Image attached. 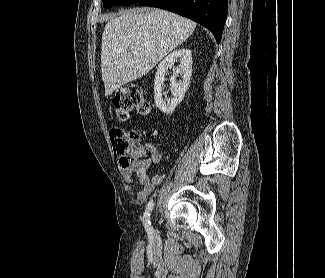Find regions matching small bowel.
I'll use <instances>...</instances> for the list:
<instances>
[{
    "label": "small bowel",
    "instance_id": "1",
    "mask_svg": "<svg viewBox=\"0 0 325 278\" xmlns=\"http://www.w3.org/2000/svg\"><path fill=\"white\" fill-rule=\"evenodd\" d=\"M149 150L150 153L148 158L137 160L135 165L131 168L122 167L120 169L121 175L126 181L133 182L137 180L140 184L141 189L138 193V199L140 201L146 200L154 187L162 181L161 175L150 173V165L168 159V154L162 150L153 146H149Z\"/></svg>",
    "mask_w": 325,
    "mask_h": 278
}]
</instances>
